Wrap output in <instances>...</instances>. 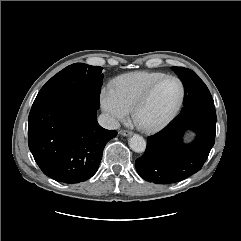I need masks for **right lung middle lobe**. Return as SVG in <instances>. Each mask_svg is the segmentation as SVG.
<instances>
[{
    "instance_id": "obj_1",
    "label": "right lung middle lobe",
    "mask_w": 241,
    "mask_h": 241,
    "mask_svg": "<svg viewBox=\"0 0 241 241\" xmlns=\"http://www.w3.org/2000/svg\"><path fill=\"white\" fill-rule=\"evenodd\" d=\"M102 69L81 63L64 68L41 88L32 108L68 101H84L98 109Z\"/></svg>"
}]
</instances>
